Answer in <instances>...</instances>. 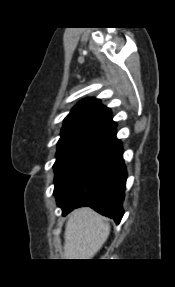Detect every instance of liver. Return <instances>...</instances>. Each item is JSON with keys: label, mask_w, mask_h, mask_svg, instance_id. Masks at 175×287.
Returning a JSON list of instances; mask_svg holds the SVG:
<instances>
[{"label": "liver", "mask_w": 175, "mask_h": 287, "mask_svg": "<svg viewBox=\"0 0 175 287\" xmlns=\"http://www.w3.org/2000/svg\"><path fill=\"white\" fill-rule=\"evenodd\" d=\"M110 234V224L90 208L70 214L64 233V255L67 259H92Z\"/></svg>", "instance_id": "1"}]
</instances>
